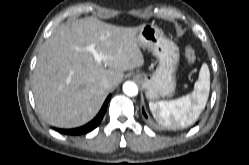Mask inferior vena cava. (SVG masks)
I'll return each instance as SVG.
<instances>
[{
	"instance_id": "inferior-vena-cava-1",
	"label": "inferior vena cava",
	"mask_w": 249,
	"mask_h": 165,
	"mask_svg": "<svg viewBox=\"0 0 249 165\" xmlns=\"http://www.w3.org/2000/svg\"><path fill=\"white\" fill-rule=\"evenodd\" d=\"M101 85L105 88V89H109L112 87V81L109 80V79H104L102 82H101Z\"/></svg>"
}]
</instances>
